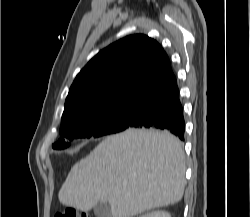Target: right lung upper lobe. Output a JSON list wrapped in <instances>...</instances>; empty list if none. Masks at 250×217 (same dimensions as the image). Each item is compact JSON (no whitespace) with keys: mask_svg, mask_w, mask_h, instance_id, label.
I'll list each match as a JSON object with an SVG mask.
<instances>
[{"mask_svg":"<svg viewBox=\"0 0 250 217\" xmlns=\"http://www.w3.org/2000/svg\"><path fill=\"white\" fill-rule=\"evenodd\" d=\"M173 75L158 42L145 35L127 36L101 50L76 76L61 122L88 110L138 101Z\"/></svg>","mask_w":250,"mask_h":217,"instance_id":"right-lung-upper-lobe-1","label":"right lung upper lobe"}]
</instances>
